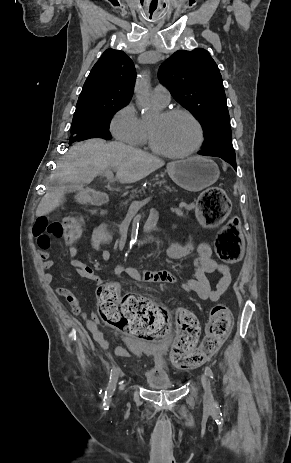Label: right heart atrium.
I'll return each mask as SVG.
<instances>
[{
	"label": "right heart atrium",
	"instance_id": "d8ad5b80",
	"mask_svg": "<svg viewBox=\"0 0 291 463\" xmlns=\"http://www.w3.org/2000/svg\"><path fill=\"white\" fill-rule=\"evenodd\" d=\"M110 130L117 140L125 144H141L144 136L143 122L132 103L126 104L113 115Z\"/></svg>",
	"mask_w": 291,
	"mask_h": 463
}]
</instances>
